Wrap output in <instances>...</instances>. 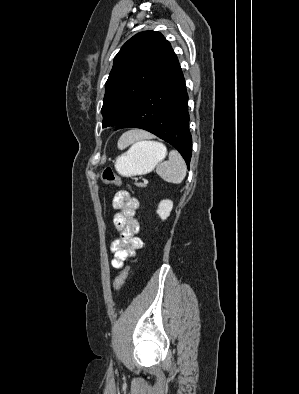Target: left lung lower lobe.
Segmentation results:
<instances>
[{
	"instance_id": "left-lung-lower-lobe-1",
	"label": "left lung lower lobe",
	"mask_w": 299,
	"mask_h": 394,
	"mask_svg": "<svg viewBox=\"0 0 299 394\" xmlns=\"http://www.w3.org/2000/svg\"><path fill=\"white\" fill-rule=\"evenodd\" d=\"M123 128L144 129L170 143L189 168L192 138L188 95L178 59L150 84L115 130Z\"/></svg>"
}]
</instances>
